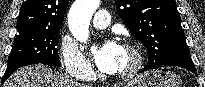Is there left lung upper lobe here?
Segmentation results:
<instances>
[{"label":"left lung upper lobe","mask_w":205,"mask_h":87,"mask_svg":"<svg viewBox=\"0 0 205 87\" xmlns=\"http://www.w3.org/2000/svg\"><path fill=\"white\" fill-rule=\"evenodd\" d=\"M118 15L147 48L148 64L160 67L174 54L189 50L175 0H115Z\"/></svg>","instance_id":"obj_1"}]
</instances>
